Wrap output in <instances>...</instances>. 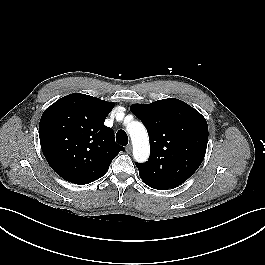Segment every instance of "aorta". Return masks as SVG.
<instances>
[{"instance_id":"aorta-1","label":"aorta","mask_w":265,"mask_h":265,"mask_svg":"<svg viewBox=\"0 0 265 265\" xmlns=\"http://www.w3.org/2000/svg\"><path fill=\"white\" fill-rule=\"evenodd\" d=\"M127 131L133 144V156L138 162H145L150 154L149 137L144 125L133 121L127 125Z\"/></svg>"}]
</instances>
